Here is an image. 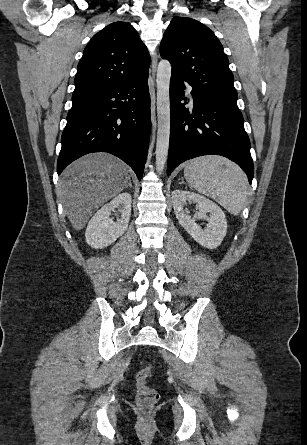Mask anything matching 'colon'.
Returning a JSON list of instances; mask_svg holds the SVG:
<instances>
[{
  "mask_svg": "<svg viewBox=\"0 0 307 445\" xmlns=\"http://www.w3.org/2000/svg\"><path fill=\"white\" fill-rule=\"evenodd\" d=\"M151 375L152 368L145 367L137 373L135 378L137 403L143 408L153 407L159 399L157 390L148 385Z\"/></svg>",
  "mask_w": 307,
  "mask_h": 445,
  "instance_id": "5ec220e1",
  "label": "colon"
}]
</instances>
